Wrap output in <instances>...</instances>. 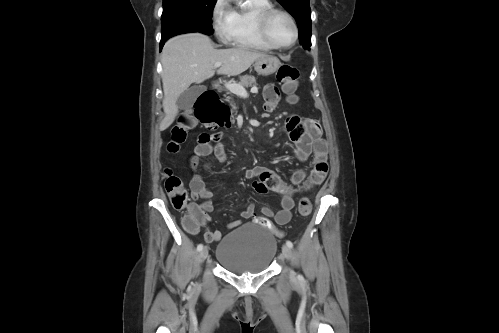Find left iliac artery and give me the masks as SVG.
<instances>
[{"instance_id":"left-iliac-artery-1","label":"left iliac artery","mask_w":499,"mask_h":333,"mask_svg":"<svg viewBox=\"0 0 499 333\" xmlns=\"http://www.w3.org/2000/svg\"><path fill=\"white\" fill-rule=\"evenodd\" d=\"M286 245L289 247V248H293V243L289 240L286 241ZM303 277L301 275H298V279L301 280Z\"/></svg>"}]
</instances>
